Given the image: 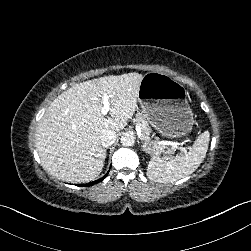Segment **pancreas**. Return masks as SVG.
Returning a JSON list of instances; mask_svg holds the SVG:
<instances>
[{
  "label": "pancreas",
  "instance_id": "pancreas-1",
  "mask_svg": "<svg viewBox=\"0 0 251 251\" xmlns=\"http://www.w3.org/2000/svg\"><path fill=\"white\" fill-rule=\"evenodd\" d=\"M135 121L141 127V139L144 142L146 148H148V150H150L152 153L163 152V146L159 145L158 143L159 137H155V140H152L154 134H152V129L142 113L136 114Z\"/></svg>",
  "mask_w": 251,
  "mask_h": 251
}]
</instances>
